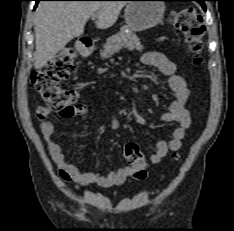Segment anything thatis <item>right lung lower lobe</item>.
Wrapping results in <instances>:
<instances>
[{"label": "right lung lower lobe", "instance_id": "obj_1", "mask_svg": "<svg viewBox=\"0 0 234 231\" xmlns=\"http://www.w3.org/2000/svg\"><path fill=\"white\" fill-rule=\"evenodd\" d=\"M34 1L36 2L35 7H34L35 9L39 1H62V0H34Z\"/></svg>", "mask_w": 234, "mask_h": 231}]
</instances>
